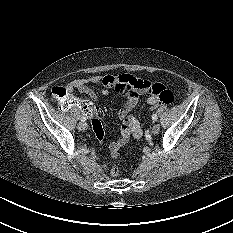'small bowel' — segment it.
<instances>
[{"label":"small bowel","mask_w":233,"mask_h":233,"mask_svg":"<svg viewBox=\"0 0 233 233\" xmlns=\"http://www.w3.org/2000/svg\"><path fill=\"white\" fill-rule=\"evenodd\" d=\"M124 76L128 75H119V76H93L87 79H75L69 81L65 84L64 88L71 95L72 92L76 89L81 93H84L90 97L93 101L97 100V92L95 91V86H100V92L103 95L109 93L110 90H116L117 92L126 96V100L122 108L118 112V117L122 121L120 137L113 141L110 144V150L112 152L118 151L123 145H125L131 137L140 138L143 134V130L138 122V120L132 114L133 110L137 106L139 102V98L141 95H148L147 102L148 104H152L155 96L149 92L148 88H135L129 87L126 85L127 82L124 81ZM131 77V76H130ZM146 86L152 85L151 82L146 80H140ZM98 108V107H97ZM99 109L95 115H88L91 117H96L99 114ZM100 119L101 118L96 117ZM93 118V119H96ZM92 119V120H93ZM91 120V121H92ZM91 124V123H90ZM104 124V123H103ZM94 135V131L92 132ZM106 134V133H105ZM106 168V166H104Z\"/></svg>","instance_id":"small-bowel-1"}]
</instances>
